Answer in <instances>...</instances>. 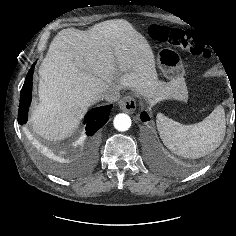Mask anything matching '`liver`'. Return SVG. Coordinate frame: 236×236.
I'll list each match as a JSON object with an SVG mask.
<instances>
[{"label":"liver","mask_w":236,"mask_h":236,"mask_svg":"<svg viewBox=\"0 0 236 236\" xmlns=\"http://www.w3.org/2000/svg\"><path fill=\"white\" fill-rule=\"evenodd\" d=\"M38 72L40 101L30 122L38 135L54 141L70 136L108 90L130 88L151 97L164 89L148 41L124 19L61 30ZM167 96L181 98L178 91Z\"/></svg>","instance_id":"1"}]
</instances>
